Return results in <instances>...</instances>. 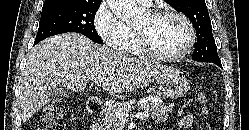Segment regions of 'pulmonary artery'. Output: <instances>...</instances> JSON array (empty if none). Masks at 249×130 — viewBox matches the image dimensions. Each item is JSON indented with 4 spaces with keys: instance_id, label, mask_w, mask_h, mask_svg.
<instances>
[{
    "instance_id": "obj_1",
    "label": "pulmonary artery",
    "mask_w": 249,
    "mask_h": 130,
    "mask_svg": "<svg viewBox=\"0 0 249 130\" xmlns=\"http://www.w3.org/2000/svg\"><path fill=\"white\" fill-rule=\"evenodd\" d=\"M136 1L145 5H149L152 0H136Z\"/></svg>"
}]
</instances>
